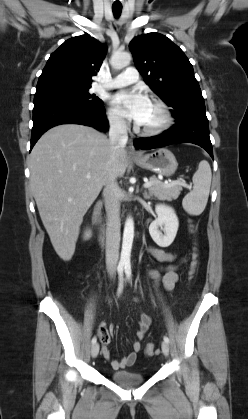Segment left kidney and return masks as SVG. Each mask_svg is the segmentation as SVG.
Instances as JSON below:
<instances>
[{
	"instance_id": "left-kidney-1",
	"label": "left kidney",
	"mask_w": 248,
	"mask_h": 419,
	"mask_svg": "<svg viewBox=\"0 0 248 419\" xmlns=\"http://www.w3.org/2000/svg\"><path fill=\"white\" fill-rule=\"evenodd\" d=\"M157 218L150 224L149 233L153 241L160 247H168L174 241L179 221L173 208L164 204L155 207ZM159 227L164 231L160 232Z\"/></svg>"
}]
</instances>
